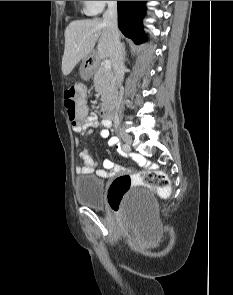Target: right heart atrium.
I'll use <instances>...</instances> for the list:
<instances>
[{"mask_svg":"<svg viewBox=\"0 0 233 295\" xmlns=\"http://www.w3.org/2000/svg\"><path fill=\"white\" fill-rule=\"evenodd\" d=\"M85 12L89 15H96L100 13L107 5L116 1H83Z\"/></svg>","mask_w":233,"mask_h":295,"instance_id":"obj_1","label":"right heart atrium"}]
</instances>
